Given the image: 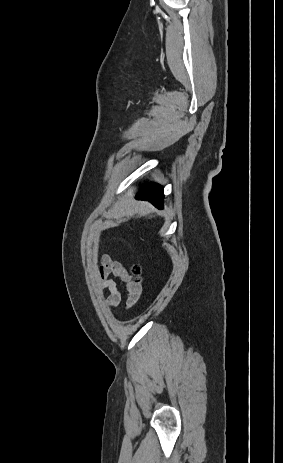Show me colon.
I'll return each instance as SVG.
<instances>
[{
	"label": "colon",
	"mask_w": 283,
	"mask_h": 463,
	"mask_svg": "<svg viewBox=\"0 0 283 463\" xmlns=\"http://www.w3.org/2000/svg\"><path fill=\"white\" fill-rule=\"evenodd\" d=\"M132 273L134 275V283H135V291H137V286L136 284H138L140 282V279H141V270H140V267L135 265L133 266L132 268Z\"/></svg>",
	"instance_id": "5ec220e1"
}]
</instances>
